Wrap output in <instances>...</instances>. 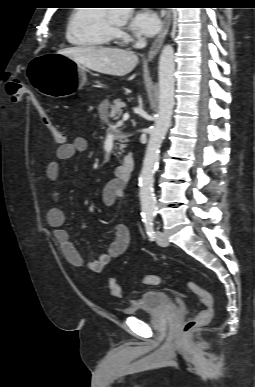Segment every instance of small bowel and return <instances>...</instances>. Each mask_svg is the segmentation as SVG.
Here are the masks:
<instances>
[{
	"mask_svg": "<svg viewBox=\"0 0 255 387\" xmlns=\"http://www.w3.org/2000/svg\"><path fill=\"white\" fill-rule=\"evenodd\" d=\"M87 150V141L83 137H76L70 142H65L56 149L57 160L51 161L46 167V176L48 180L56 184L60 175V162L67 161L77 155L85 153ZM52 200L57 203L60 197L59 191L54 188L52 191ZM125 196L124 183L118 179H112L104 186L103 201L111 206L116 201L122 200ZM47 222L53 229L54 237L59 243L65 259L76 267H86L93 273H101L112 259L121 256L127 250L130 244V231L124 224H118L114 227V239L109 244L107 250L101 253L96 260L85 262L81 254L75 247L69 232L65 229V214L57 206H53L47 211Z\"/></svg>",
	"mask_w": 255,
	"mask_h": 387,
	"instance_id": "c3829d8e",
	"label": "small bowel"
}]
</instances>
